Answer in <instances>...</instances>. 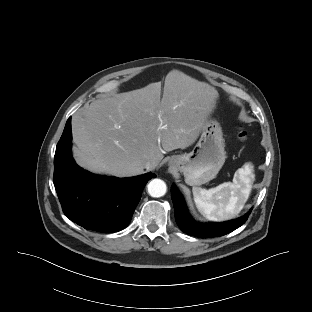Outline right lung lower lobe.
Returning a JSON list of instances; mask_svg holds the SVG:
<instances>
[{
	"label": "right lung lower lobe",
	"mask_w": 312,
	"mask_h": 312,
	"mask_svg": "<svg viewBox=\"0 0 312 312\" xmlns=\"http://www.w3.org/2000/svg\"><path fill=\"white\" fill-rule=\"evenodd\" d=\"M71 117L54 156V185L64 214L85 229L113 233L131 221L146 183L153 173L115 178L94 175L80 168L71 152Z\"/></svg>",
	"instance_id": "98d812e1"
}]
</instances>
